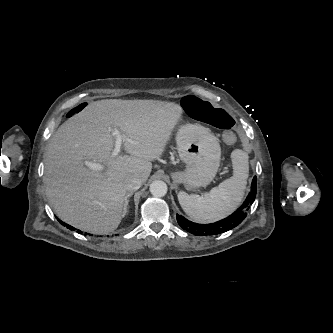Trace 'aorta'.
<instances>
[{
    "label": "aorta",
    "instance_id": "obj_1",
    "mask_svg": "<svg viewBox=\"0 0 333 333\" xmlns=\"http://www.w3.org/2000/svg\"><path fill=\"white\" fill-rule=\"evenodd\" d=\"M167 185L164 181L156 180L150 185V192L155 197H162L167 193Z\"/></svg>",
    "mask_w": 333,
    "mask_h": 333
}]
</instances>
